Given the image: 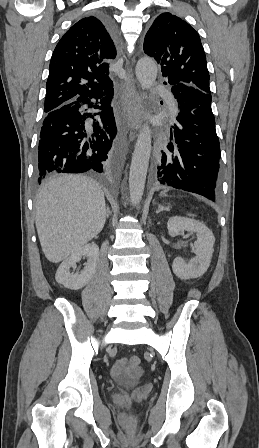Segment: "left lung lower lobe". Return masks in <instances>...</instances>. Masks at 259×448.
Wrapping results in <instances>:
<instances>
[{"mask_svg": "<svg viewBox=\"0 0 259 448\" xmlns=\"http://www.w3.org/2000/svg\"><path fill=\"white\" fill-rule=\"evenodd\" d=\"M171 86L179 104L178 123L174 124L167 150L162 151V159L155 167L154 181L215 200L221 154L212 96L182 82Z\"/></svg>", "mask_w": 259, "mask_h": 448, "instance_id": "0a47b994", "label": "left lung lower lobe"}]
</instances>
